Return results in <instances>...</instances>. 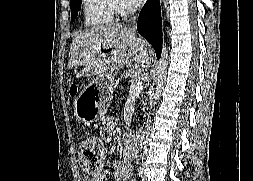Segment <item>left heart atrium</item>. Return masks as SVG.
<instances>
[{"instance_id":"1","label":"left heart atrium","mask_w":253,"mask_h":181,"mask_svg":"<svg viewBox=\"0 0 253 181\" xmlns=\"http://www.w3.org/2000/svg\"><path fill=\"white\" fill-rule=\"evenodd\" d=\"M144 0H129V2H131V4L133 5H140Z\"/></svg>"}]
</instances>
